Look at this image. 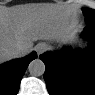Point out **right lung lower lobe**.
<instances>
[{
	"label": "right lung lower lobe",
	"mask_w": 95,
	"mask_h": 95,
	"mask_svg": "<svg viewBox=\"0 0 95 95\" xmlns=\"http://www.w3.org/2000/svg\"><path fill=\"white\" fill-rule=\"evenodd\" d=\"M36 57L37 54L33 52L28 57L16 59L0 66V82L2 91H5V94H17L28 64Z\"/></svg>",
	"instance_id": "1"
}]
</instances>
